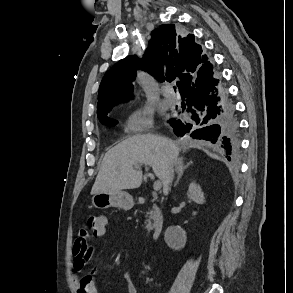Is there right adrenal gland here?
<instances>
[{
  "label": "right adrenal gland",
  "mask_w": 293,
  "mask_h": 293,
  "mask_svg": "<svg viewBox=\"0 0 293 293\" xmlns=\"http://www.w3.org/2000/svg\"><path fill=\"white\" fill-rule=\"evenodd\" d=\"M192 163H193V162L190 161V162H188L187 164H184L183 160H181L180 162L177 163V165H176V172H177V174H178V177H177V180H176V182H175V184H174V187L177 186V184L179 183L181 177H182L183 174H184V171H185V170L187 169V167H188L189 165H191Z\"/></svg>",
  "instance_id": "obj_1"
}]
</instances>
